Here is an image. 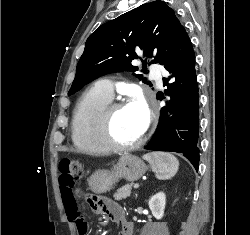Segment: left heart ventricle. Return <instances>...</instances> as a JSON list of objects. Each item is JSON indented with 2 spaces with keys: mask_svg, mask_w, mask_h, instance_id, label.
I'll return each mask as SVG.
<instances>
[{
  "mask_svg": "<svg viewBox=\"0 0 250 235\" xmlns=\"http://www.w3.org/2000/svg\"><path fill=\"white\" fill-rule=\"evenodd\" d=\"M111 132L113 138L119 143H131L143 133L140 118L127 106L114 115Z\"/></svg>",
  "mask_w": 250,
  "mask_h": 235,
  "instance_id": "1",
  "label": "left heart ventricle"
}]
</instances>
